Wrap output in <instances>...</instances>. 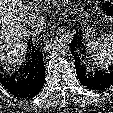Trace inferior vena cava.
Wrapping results in <instances>:
<instances>
[{"mask_svg": "<svg viewBox=\"0 0 113 113\" xmlns=\"http://www.w3.org/2000/svg\"><path fill=\"white\" fill-rule=\"evenodd\" d=\"M46 27V21L43 17L34 16L29 19L28 33L32 36L39 35Z\"/></svg>", "mask_w": 113, "mask_h": 113, "instance_id": "obj_1", "label": "inferior vena cava"}]
</instances>
